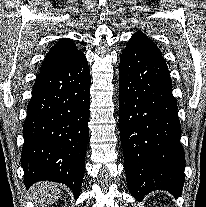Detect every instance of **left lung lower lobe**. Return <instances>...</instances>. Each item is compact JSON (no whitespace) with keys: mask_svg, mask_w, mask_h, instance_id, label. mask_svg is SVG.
I'll use <instances>...</instances> for the list:
<instances>
[{"mask_svg":"<svg viewBox=\"0 0 206 207\" xmlns=\"http://www.w3.org/2000/svg\"><path fill=\"white\" fill-rule=\"evenodd\" d=\"M119 130L128 188L141 201L154 190L179 197L185 154L172 82L162 57L127 45L120 56Z\"/></svg>","mask_w":206,"mask_h":207,"instance_id":"1","label":"left lung lower lobe"}]
</instances>
